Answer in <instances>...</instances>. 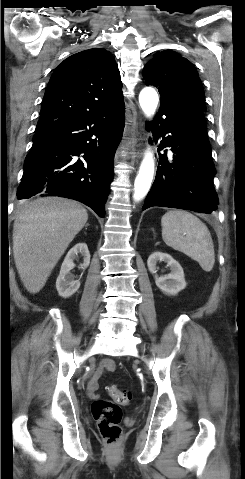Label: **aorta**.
Returning <instances> with one entry per match:
<instances>
[{
	"label": "aorta",
	"mask_w": 245,
	"mask_h": 479,
	"mask_svg": "<svg viewBox=\"0 0 245 479\" xmlns=\"http://www.w3.org/2000/svg\"><path fill=\"white\" fill-rule=\"evenodd\" d=\"M158 94L153 88H144L139 95V103L144 113L150 117L158 105ZM154 175V160L151 153H147L140 165L139 173L134 182L133 198L136 202L143 199L148 193Z\"/></svg>",
	"instance_id": "obj_1"
}]
</instances>
